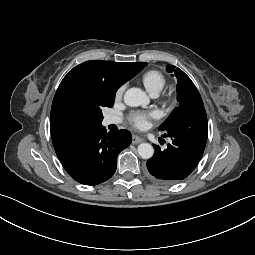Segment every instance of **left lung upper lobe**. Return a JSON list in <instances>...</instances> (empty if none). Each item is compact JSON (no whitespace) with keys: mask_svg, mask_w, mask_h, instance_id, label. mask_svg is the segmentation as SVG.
<instances>
[{"mask_svg":"<svg viewBox=\"0 0 255 255\" xmlns=\"http://www.w3.org/2000/svg\"><path fill=\"white\" fill-rule=\"evenodd\" d=\"M167 71L173 73L178 80L177 84V101L178 105L173 110L169 118L159 126V130L166 131L179 120L189 115L198 108L204 107L202 98L191 81V79L179 68L167 65Z\"/></svg>","mask_w":255,"mask_h":255,"instance_id":"obj_1","label":"left lung upper lobe"}]
</instances>
